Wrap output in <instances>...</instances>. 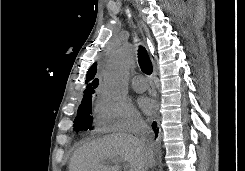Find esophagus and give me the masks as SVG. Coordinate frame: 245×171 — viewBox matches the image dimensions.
Segmentation results:
<instances>
[{
  "instance_id": "1",
  "label": "esophagus",
  "mask_w": 245,
  "mask_h": 171,
  "mask_svg": "<svg viewBox=\"0 0 245 171\" xmlns=\"http://www.w3.org/2000/svg\"><path fill=\"white\" fill-rule=\"evenodd\" d=\"M151 61H152V66H153V81H154L155 85L157 86V82H158V80H157V63H156V58L154 57L152 52H151Z\"/></svg>"
}]
</instances>
